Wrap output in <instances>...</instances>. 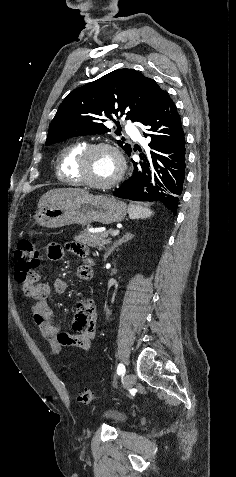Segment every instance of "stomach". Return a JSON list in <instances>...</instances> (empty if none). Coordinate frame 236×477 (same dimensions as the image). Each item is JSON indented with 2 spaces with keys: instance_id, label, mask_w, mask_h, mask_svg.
Instances as JSON below:
<instances>
[{
  "instance_id": "0dacf381",
  "label": "stomach",
  "mask_w": 236,
  "mask_h": 477,
  "mask_svg": "<svg viewBox=\"0 0 236 477\" xmlns=\"http://www.w3.org/2000/svg\"><path fill=\"white\" fill-rule=\"evenodd\" d=\"M127 214V206L122 201L104 195L81 194L56 204H48L39 209L35 223L49 228H59L70 224L89 225L92 222L112 224L121 222ZM30 237L36 231L28 232Z\"/></svg>"
}]
</instances>
